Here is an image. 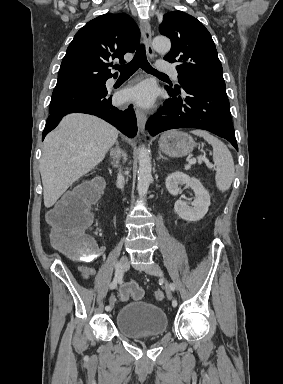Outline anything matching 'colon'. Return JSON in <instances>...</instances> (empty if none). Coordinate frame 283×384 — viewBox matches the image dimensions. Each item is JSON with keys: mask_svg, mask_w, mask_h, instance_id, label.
Returning a JSON list of instances; mask_svg holds the SVG:
<instances>
[{"mask_svg": "<svg viewBox=\"0 0 283 384\" xmlns=\"http://www.w3.org/2000/svg\"><path fill=\"white\" fill-rule=\"evenodd\" d=\"M96 193L84 185L68 193L49 213L48 222L54 244L75 260L90 261L97 255L93 240L85 232L91 223V206ZM123 300L141 299L143 290L137 284H125L120 291ZM157 301L164 299L161 290L154 292Z\"/></svg>", "mask_w": 283, "mask_h": 384, "instance_id": "5ec220e1", "label": "colon"}]
</instances>
